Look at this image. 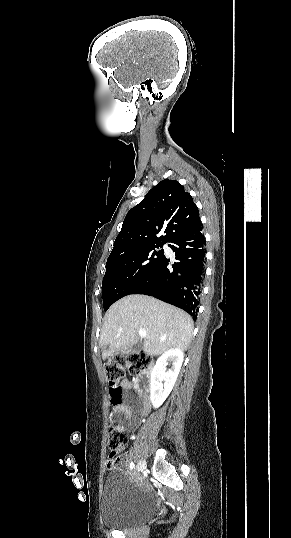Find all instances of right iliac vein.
Masks as SVG:
<instances>
[{
  "instance_id": "63e3f726",
  "label": "right iliac vein",
  "mask_w": 291,
  "mask_h": 538,
  "mask_svg": "<svg viewBox=\"0 0 291 538\" xmlns=\"http://www.w3.org/2000/svg\"><path fill=\"white\" fill-rule=\"evenodd\" d=\"M146 468V462L145 460H140L136 466V469L134 470L133 473L135 472H143V470Z\"/></svg>"
}]
</instances>
